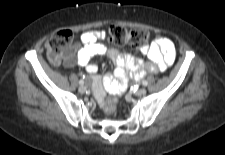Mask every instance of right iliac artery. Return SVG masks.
<instances>
[{
    "mask_svg": "<svg viewBox=\"0 0 225 155\" xmlns=\"http://www.w3.org/2000/svg\"><path fill=\"white\" fill-rule=\"evenodd\" d=\"M79 84H80V85H83V84H84V81H83V80H80V81H79Z\"/></svg>",
    "mask_w": 225,
    "mask_h": 155,
    "instance_id": "1",
    "label": "right iliac artery"
}]
</instances>
